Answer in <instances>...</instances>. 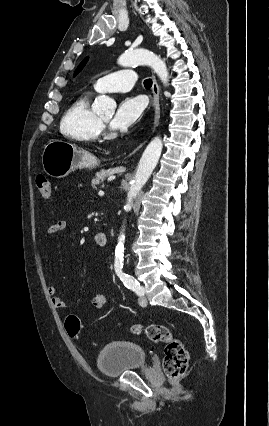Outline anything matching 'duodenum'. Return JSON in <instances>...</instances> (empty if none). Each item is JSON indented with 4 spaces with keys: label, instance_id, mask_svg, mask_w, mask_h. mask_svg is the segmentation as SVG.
<instances>
[{
    "label": "duodenum",
    "instance_id": "410a0bca",
    "mask_svg": "<svg viewBox=\"0 0 269 426\" xmlns=\"http://www.w3.org/2000/svg\"><path fill=\"white\" fill-rule=\"evenodd\" d=\"M97 245L104 247L108 243V235L105 232H99L95 235Z\"/></svg>",
    "mask_w": 269,
    "mask_h": 426
}]
</instances>
